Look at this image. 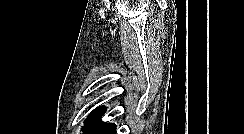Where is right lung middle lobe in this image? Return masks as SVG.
<instances>
[{
  "mask_svg": "<svg viewBox=\"0 0 244 134\" xmlns=\"http://www.w3.org/2000/svg\"><path fill=\"white\" fill-rule=\"evenodd\" d=\"M105 111L106 108L101 106L89 114L85 120V126L82 128L84 134H113L116 130V125L113 123H104L100 120Z\"/></svg>",
  "mask_w": 244,
  "mask_h": 134,
  "instance_id": "dd1d6c3e",
  "label": "right lung middle lobe"
}]
</instances>
